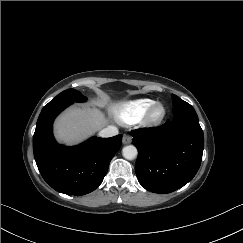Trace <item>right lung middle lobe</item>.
Wrapping results in <instances>:
<instances>
[{
  "label": "right lung middle lobe",
  "instance_id": "dd1d6c3e",
  "mask_svg": "<svg viewBox=\"0 0 243 243\" xmlns=\"http://www.w3.org/2000/svg\"><path fill=\"white\" fill-rule=\"evenodd\" d=\"M87 98L81 94V92L75 90V89H67L60 94H58L52 101H50L48 104H53L57 102L66 103L68 105L74 103V102H84ZM47 104V105H48Z\"/></svg>",
  "mask_w": 243,
  "mask_h": 243
}]
</instances>
